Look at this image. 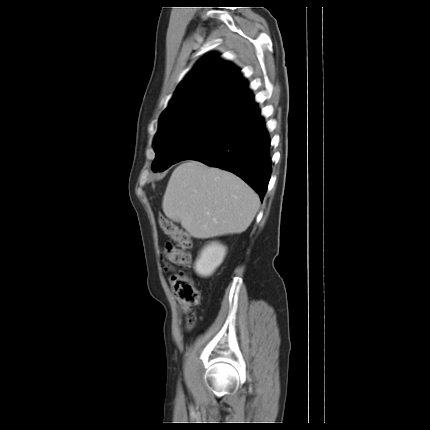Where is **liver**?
<instances>
[{
  "label": "liver",
  "mask_w": 430,
  "mask_h": 430,
  "mask_svg": "<svg viewBox=\"0 0 430 430\" xmlns=\"http://www.w3.org/2000/svg\"><path fill=\"white\" fill-rule=\"evenodd\" d=\"M259 205L258 195L240 177L197 160L173 171L162 202L167 218L198 239L244 232Z\"/></svg>",
  "instance_id": "obj_1"
}]
</instances>
